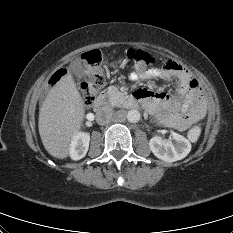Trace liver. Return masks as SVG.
I'll list each match as a JSON object with an SVG mask.
<instances>
[{
  "label": "liver",
  "instance_id": "1",
  "mask_svg": "<svg viewBox=\"0 0 233 233\" xmlns=\"http://www.w3.org/2000/svg\"><path fill=\"white\" fill-rule=\"evenodd\" d=\"M85 116L84 102L70 73L51 88L39 111V134L47 152L65 159Z\"/></svg>",
  "mask_w": 233,
  "mask_h": 233
}]
</instances>
